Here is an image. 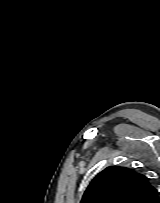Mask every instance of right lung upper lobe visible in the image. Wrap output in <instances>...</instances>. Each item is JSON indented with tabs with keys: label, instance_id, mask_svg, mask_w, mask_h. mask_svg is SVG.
<instances>
[{
	"label": "right lung upper lobe",
	"instance_id": "1",
	"mask_svg": "<svg viewBox=\"0 0 160 203\" xmlns=\"http://www.w3.org/2000/svg\"><path fill=\"white\" fill-rule=\"evenodd\" d=\"M156 199L157 191L143 174L111 166L92 180L80 203H154Z\"/></svg>",
	"mask_w": 160,
	"mask_h": 203
}]
</instances>
